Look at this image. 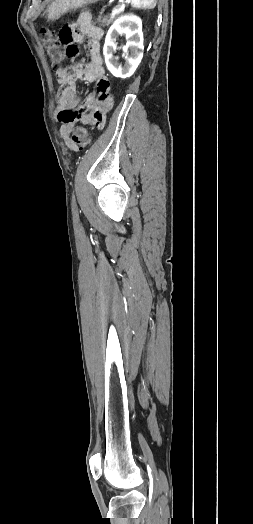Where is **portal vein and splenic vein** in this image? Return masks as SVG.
I'll list each match as a JSON object with an SVG mask.
<instances>
[{"label": "portal vein and splenic vein", "instance_id": "obj_1", "mask_svg": "<svg viewBox=\"0 0 253 524\" xmlns=\"http://www.w3.org/2000/svg\"><path fill=\"white\" fill-rule=\"evenodd\" d=\"M130 0H126L125 2H122L120 5H117L113 8L111 16H115L119 14L125 7L127 3H129Z\"/></svg>", "mask_w": 253, "mask_h": 524}]
</instances>
